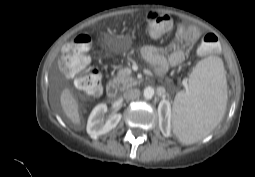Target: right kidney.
<instances>
[{
  "label": "right kidney",
  "mask_w": 255,
  "mask_h": 177,
  "mask_svg": "<svg viewBox=\"0 0 255 177\" xmlns=\"http://www.w3.org/2000/svg\"><path fill=\"white\" fill-rule=\"evenodd\" d=\"M107 112V105L104 103L98 104L91 112L87 122V133L92 138L106 134L114 129L122 115L119 113H112L109 118L104 122L103 117Z\"/></svg>",
  "instance_id": "1"
}]
</instances>
